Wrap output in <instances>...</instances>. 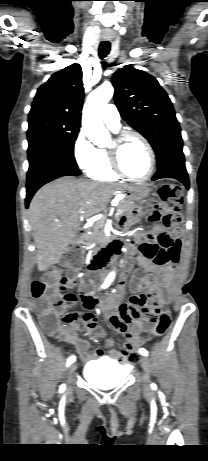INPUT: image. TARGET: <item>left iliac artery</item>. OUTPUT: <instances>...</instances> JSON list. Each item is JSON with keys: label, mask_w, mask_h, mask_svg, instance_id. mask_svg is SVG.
Masks as SVG:
<instances>
[{"label": "left iliac artery", "mask_w": 208, "mask_h": 461, "mask_svg": "<svg viewBox=\"0 0 208 461\" xmlns=\"http://www.w3.org/2000/svg\"><path fill=\"white\" fill-rule=\"evenodd\" d=\"M139 352H140V354H142L143 356H147V355H148L147 350L144 349V348H141V349L139 350Z\"/></svg>", "instance_id": "left-iliac-artery-1"}]
</instances>
